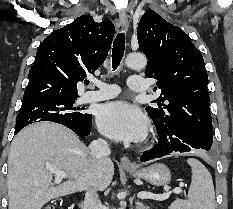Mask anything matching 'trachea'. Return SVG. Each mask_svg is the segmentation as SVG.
Wrapping results in <instances>:
<instances>
[{"label":"trachea","mask_w":233,"mask_h":209,"mask_svg":"<svg viewBox=\"0 0 233 209\" xmlns=\"http://www.w3.org/2000/svg\"><path fill=\"white\" fill-rule=\"evenodd\" d=\"M125 50V34L119 33L114 42L112 48V68L115 70L118 68ZM87 84L89 81L86 82Z\"/></svg>","instance_id":"trachea-1"}]
</instances>
